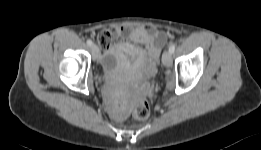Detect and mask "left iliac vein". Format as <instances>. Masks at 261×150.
Masks as SVG:
<instances>
[{
	"label": "left iliac vein",
	"mask_w": 261,
	"mask_h": 150,
	"mask_svg": "<svg viewBox=\"0 0 261 150\" xmlns=\"http://www.w3.org/2000/svg\"><path fill=\"white\" fill-rule=\"evenodd\" d=\"M162 62L164 66L171 67L172 65V55L169 51H165L162 55Z\"/></svg>",
	"instance_id": "obj_1"
}]
</instances>
